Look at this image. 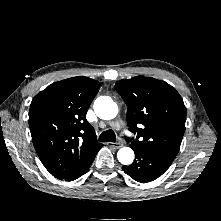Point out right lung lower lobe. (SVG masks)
<instances>
[{"label": "right lung lower lobe", "instance_id": "right-lung-lower-lobe-1", "mask_svg": "<svg viewBox=\"0 0 221 221\" xmlns=\"http://www.w3.org/2000/svg\"><path fill=\"white\" fill-rule=\"evenodd\" d=\"M95 158V157H94ZM94 158H92L91 160H89L86 165L84 167H82L79 171H77L76 173L66 177V178H63L65 181H72V180H75L77 178H79L80 176H82L83 174H85L87 172V170L89 169V167L91 166Z\"/></svg>", "mask_w": 221, "mask_h": 221}]
</instances>
